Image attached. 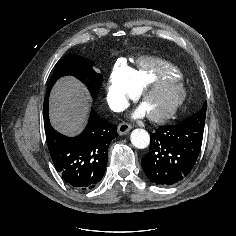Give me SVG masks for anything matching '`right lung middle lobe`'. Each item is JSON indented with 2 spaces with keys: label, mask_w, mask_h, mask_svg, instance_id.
Returning a JSON list of instances; mask_svg holds the SVG:
<instances>
[{
  "label": "right lung middle lobe",
  "mask_w": 236,
  "mask_h": 236,
  "mask_svg": "<svg viewBox=\"0 0 236 236\" xmlns=\"http://www.w3.org/2000/svg\"><path fill=\"white\" fill-rule=\"evenodd\" d=\"M71 75L83 82L94 99L100 89L102 76L92 69L91 62L79 55H67L60 59L55 67L53 75L47 85V93L44 101H48L51 88L62 76Z\"/></svg>",
  "instance_id": "1"
}]
</instances>
